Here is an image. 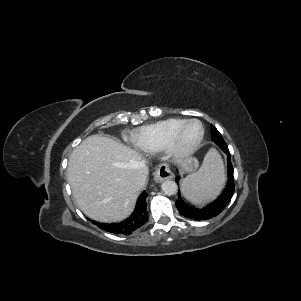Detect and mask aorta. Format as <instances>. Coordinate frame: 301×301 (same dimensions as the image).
I'll return each mask as SVG.
<instances>
[{"mask_svg":"<svg viewBox=\"0 0 301 301\" xmlns=\"http://www.w3.org/2000/svg\"><path fill=\"white\" fill-rule=\"evenodd\" d=\"M161 189L167 195H175L177 193L178 186L175 181L166 180L162 183Z\"/></svg>","mask_w":301,"mask_h":301,"instance_id":"aorta-1","label":"aorta"}]
</instances>
